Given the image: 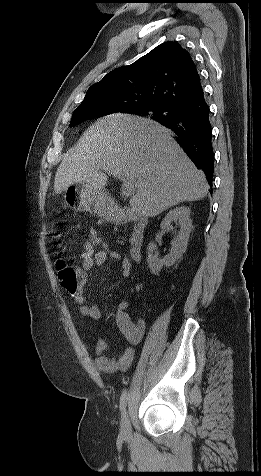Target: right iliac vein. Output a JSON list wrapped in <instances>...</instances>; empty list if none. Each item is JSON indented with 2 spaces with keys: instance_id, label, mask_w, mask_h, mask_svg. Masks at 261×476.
I'll return each instance as SVG.
<instances>
[{
  "instance_id": "right-iliac-vein-1",
  "label": "right iliac vein",
  "mask_w": 261,
  "mask_h": 476,
  "mask_svg": "<svg viewBox=\"0 0 261 476\" xmlns=\"http://www.w3.org/2000/svg\"><path fill=\"white\" fill-rule=\"evenodd\" d=\"M121 433L128 437L131 434V426H130V421L127 412H124L121 416Z\"/></svg>"
}]
</instances>
